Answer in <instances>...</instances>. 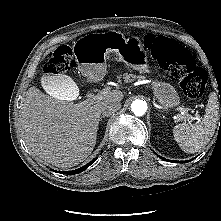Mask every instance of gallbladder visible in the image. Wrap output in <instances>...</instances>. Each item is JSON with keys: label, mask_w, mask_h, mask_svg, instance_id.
I'll return each mask as SVG.
<instances>
[{"label": "gallbladder", "mask_w": 221, "mask_h": 221, "mask_svg": "<svg viewBox=\"0 0 221 221\" xmlns=\"http://www.w3.org/2000/svg\"><path fill=\"white\" fill-rule=\"evenodd\" d=\"M43 88L57 99H73L78 92L77 84L65 75L47 73L42 80Z\"/></svg>", "instance_id": "bac80fb5"}]
</instances>
